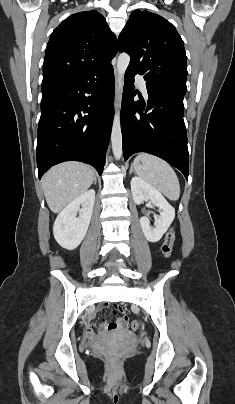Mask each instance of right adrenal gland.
Wrapping results in <instances>:
<instances>
[{
	"label": "right adrenal gland",
	"instance_id": "1",
	"mask_svg": "<svg viewBox=\"0 0 235 404\" xmlns=\"http://www.w3.org/2000/svg\"><path fill=\"white\" fill-rule=\"evenodd\" d=\"M94 184H97V177H94Z\"/></svg>",
	"mask_w": 235,
	"mask_h": 404
}]
</instances>
